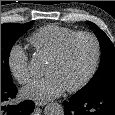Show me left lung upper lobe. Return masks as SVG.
I'll return each instance as SVG.
<instances>
[{
	"label": "left lung upper lobe",
	"instance_id": "1",
	"mask_svg": "<svg viewBox=\"0 0 115 115\" xmlns=\"http://www.w3.org/2000/svg\"><path fill=\"white\" fill-rule=\"evenodd\" d=\"M101 46V61L93 78L76 94L85 97L106 90H115V48L108 36L94 23L87 21Z\"/></svg>",
	"mask_w": 115,
	"mask_h": 115
}]
</instances>
